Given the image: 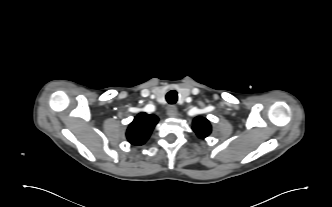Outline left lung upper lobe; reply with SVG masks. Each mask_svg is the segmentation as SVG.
Here are the masks:
<instances>
[{"label":"left lung upper lobe","instance_id":"left-lung-upper-lobe-1","mask_svg":"<svg viewBox=\"0 0 332 207\" xmlns=\"http://www.w3.org/2000/svg\"><path fill=\"white\" fill-rule=\"evenodd\" d=\"M192 128L197 136L201 139L207 137L211 133L210 122L201 116L194 118Z\"/></svg>","mask_w":332,"mask_h":207}]
</instances>
